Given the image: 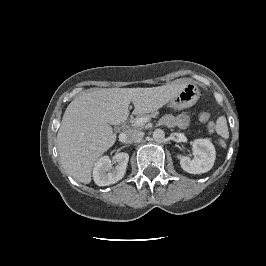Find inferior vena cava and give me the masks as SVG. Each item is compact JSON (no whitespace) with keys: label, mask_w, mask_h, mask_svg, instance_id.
Returning a JSON list of instances; mask_svg holds the SVG:
<instances>
[{"label":"inferior vena cava","mask_w":266,"mask_h":266,"mask_svg":"<svg viewBox=\"0 0 266 266\" xmlns=\"http://www.w3.org/2000/svg\"><path fill=\"white\" fill-rule=\"evenodd\" d=\"M143 137L144 132L140 130L129 129L122 134L121 140L125 143H132L141 140Z\"/></svg>","instance_id":"602c4592"}]
</instances>
